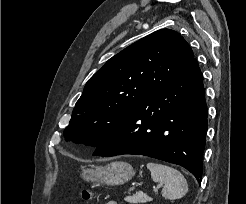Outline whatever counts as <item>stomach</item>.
Returning <instances> with one entry per match:
<instances>
[{
    "label": "stomach",
    "instance_id": "1",
    "mask_svg": "<svg viewBox=\"0 0 246 204\" xmlns=\"http://www.w3.org/2000/svg\"><path fill=\"white\" fill-rule=\"evenodd\" d=\"M134 175L133 167L122 161H115L106 166L83 168L81 174L86 181L112 186L124 184L131 180Z\"/></svg>",
    "mask_w": 246,
    "mask_h": 204
}]
</instances>
